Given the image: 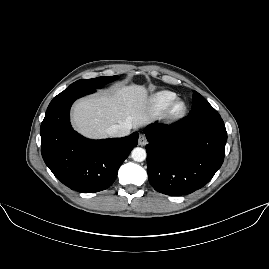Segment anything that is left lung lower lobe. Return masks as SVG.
<instances>
[{"instance_id": "0a47b994", "label": "left lung lower lobe", "mask_w": 269, "mask_h": 269, "mask_svg": "<svg viewBox=\"0 0 269 269\" xmlns=\"http://www.w3.org/2000/svg\"><path fill=\"white\" fill-rule=\"evenodd\" d=\"M144 132L149 182L160 193L190 194L206 185L223 163L227 132L221 117L155 123Z\"/></svg>"}]
</instances>
